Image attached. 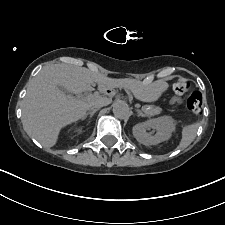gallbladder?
<instances>
[{
	"instance_id": "bac80fb5",
	"label": "gallbladder",
	"mask_w": 225,
	"mask_h": 225,
	"mask_svg": "<svg viewBox=\"0 0 225 225\" xmlns=\"http://www.w3.org/2000/svg\"><path fill=\"white\" fill-rule=\"evenodd\" d=\"M58 88L63 92V93H65V94H70V92L66 89V88H64V87H62V86H58Z\"/></svg>"
}]
</instances>
